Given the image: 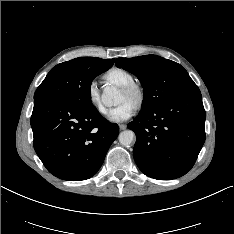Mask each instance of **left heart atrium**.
<instances>
[{
    "instance_id": "left-heart-atrium-1",
    "label": "left heart atrium",
    "mask_w": 234,
    "mask_h": 234,
    "mask_svg": "<svg viewBox=\"0 0 234 234\" xmlns=\"http://www.w3.org/2000/svg\"><path fill=\"white\" fill-rule=\"evenodd\" d=\"M134 106L128 102H122L111 109L108 114L109 120L113 122H123L131 118L134 114Z\"/></svg>"
}]
</instances>
